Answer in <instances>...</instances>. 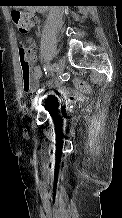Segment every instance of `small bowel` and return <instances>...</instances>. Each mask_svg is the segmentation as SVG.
Listing matches in <instances>:
<instances>
[{
  "mask_svg": "<svg viewBox=\"0 0 122 218\" xmlns=\"http://www.w3.org/2000/svg\"><path fill=\"white\" fill-rule=\"evenodd\" d=\"M26 44L28 46H30V48H31V65H32V69H31L32 88H31V91L37 93V91L40 90L38 88L42 85V71H41L40 67L34 65L36 62V51H35L33 38L29 37L26 40ZM60 94L63 96L64 99H66L68 101H72L76 97V95L66 87H62L60 89Z\"/></svg>",
  "mask_w": 122,
  "mask_h": 218,
  "instance_id": "1",
  "label": "small bowel"
}]
</instances>
